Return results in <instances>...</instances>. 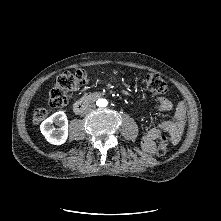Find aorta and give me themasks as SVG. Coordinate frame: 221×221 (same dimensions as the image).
Segmentation results:
<instances>
[{
  "mask_svg": "<svg viewBox=\"0 0 221 221\" xmlns=\"http://www.w3.org/2000/svg\"><path fill=\"white\" fill-rule=\"evenodd\" d=\"M96 104L99 107H106L107 106V100L106 99H98Z\"/></svg>",
  "mask_w": 221,
  "mask_h": 221,
  "instance_id": "obj_1",
  "label": "aorta"
}]
</instances>
